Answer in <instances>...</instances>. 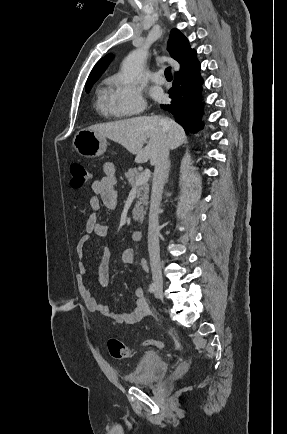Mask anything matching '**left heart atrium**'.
Masks as SVG:
<instances>
[{
  "label": "left heart atrium",
  "mask_w": 287,
  "mask_h": 434,
  "mask_svg": "<svg viewBox=\"0 0 287 434\" xmlns=\"http://www.w3.org/2000/svg\"><path fill=\"white\" fill-rule=\"evenodd\" d=\"M153 95H154L155 97H159V96H160V92L156 90V91L153 92Z\"/></svg>",
  "instance_id": "obj_1"
}]
</instances>
